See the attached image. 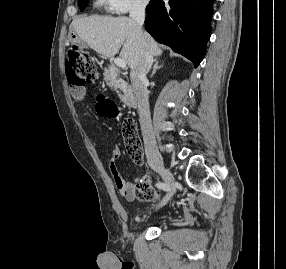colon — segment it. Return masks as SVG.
<instances>
[{
  "label": "colon",
  "mask_w": 286,
  "mask_h": 269,
  "mask_svg": "<svg viewBox=\"0 0 286 269\" xmlns=\"http://www.w3.org/2000/svg\"><path fill=\"white\" fill-rule=\"evenodd\" d=\"M66 72L70 83L76 91L85 84L92 83L97 78L96 64L92 56L75 45L67 49ZM101 116L113 117L117 109L112 100L101 96L97 105ZM124 143L128 154L135 164H141L143 151L137 126L133 119H125L122 124ZM135 197L143 202H151L157 198V190L151 185L147 176H143L134 186Z\"/></svg>",
  "instance_id": "5ec220e1"
}]
</instances>
